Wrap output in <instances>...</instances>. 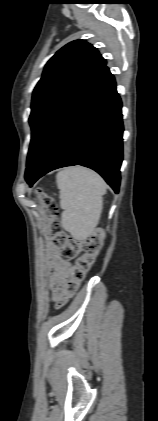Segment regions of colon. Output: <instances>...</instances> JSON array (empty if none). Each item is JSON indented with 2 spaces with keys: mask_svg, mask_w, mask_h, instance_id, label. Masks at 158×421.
I'll return each instance as SVG.
<instances>
[{
  "mask_svg": "<svg viewBox=\"0 0 158 421\" xmlns=\"http://www.w3.org/2000/svg\"><path fill=\"white\" fill-rule=\"evenodd\" d=\"M38 194L47 222L46 234L52 244L59 250L60 258L69 262L75 258L79 251L84 252L71 266L69 278L65 285L66 296L60 302V305H62L68 298L76 294L86 273L94 264L103 244L105 232L101 228H96L84 237L68 235L61 227L59 209L55 199L42 191H38Z\"/></svg>",
  "mask_w": 158,
  "mask_h": 421,
  "instance_id": "5ec220e1",
  "label": "colon"
}]
</instances>
